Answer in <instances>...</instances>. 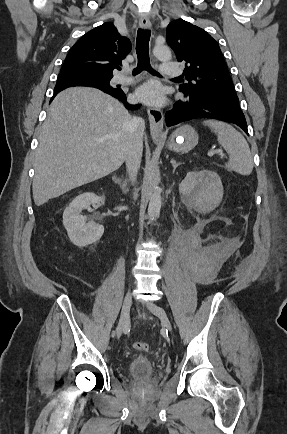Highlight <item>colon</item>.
Masks as SVG:
<instances>
[{
  "label": "colon",
  "mask_w": 287,
  "mask_h": 434,
  "mask_svg": "<svg viewBox=\"0 0 287 434\" xmlns=\"http://www.w3.org/2000/svg\"><path fill=\"white\" fill-rule=\"evenodd\" d=\"M133 348L138 351L146 352L148 351L149 346L146 342L136 341L133 343Z\"/></svg>",
  "instance_id": "1"
}]
</instances>
